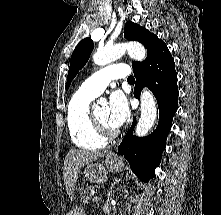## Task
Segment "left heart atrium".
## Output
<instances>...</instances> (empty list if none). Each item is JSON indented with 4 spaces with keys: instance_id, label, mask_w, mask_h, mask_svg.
<instances>
[{
    "instance_id": "39dd6f15",
    "label": "left heart atrium",
    "mask_w": 221,
    "mask_h": 215,
    "mask_svg": "<svg viewBox=\"0 0 221 215\" xmlns=\"http://www.w3.org/2000/svg\"><path fill=\"white\" fill-rule=\"evenodd\" d=\"M130 114L128 101L123 92L117 90L110 95L108 106V121L111 127H121Z\"/></svg>"
}]
</instances>
